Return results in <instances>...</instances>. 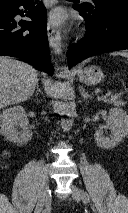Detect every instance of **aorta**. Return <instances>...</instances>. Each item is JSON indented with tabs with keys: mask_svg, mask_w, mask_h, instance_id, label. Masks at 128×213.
Segmentation results:
<instances>
[{
	"mask_svg": "<svg viewBox=\"0 0 128 213\" xmlns=\"http://www.w3.org/2000/svg\"><path fill=\"white\" fill-rule=\"evenodd\" d=\"M59 94L61 97L59 105V114L62 116L61 126L65 132H68L73 126L72 117L76 113V106L73 102V92L69 86L63 85Z\"/></svg>",
	"mask_w": 128,
	"mask_h": 213,
	"instance_id": "762f6f07",
	"label": "aorta"
}]
</instances>
